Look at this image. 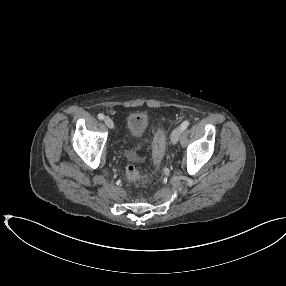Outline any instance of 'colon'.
<instances>
[{"label": "colon", "mask_w": 286, "mask_h": 286, "mask_svg": "<svg viewBox=\"0 0 286 286\" xmlns=\"http://www.w3.org/2000/svg\"><path fill=\"white\" fill-rule=\"evenodd\" d=\"M165 144V132L160 128L156 131L152 144V161L155 168H158L163 161ZM135 155L134 151L127 153L129 159H134ZM126 177L129 181H137L142 178V175L137 171L136 167L130 163L126 167Z\"/></svg>", "instance_id": "1"}]
</instances>
